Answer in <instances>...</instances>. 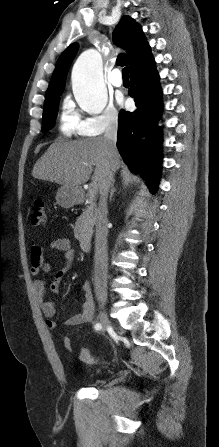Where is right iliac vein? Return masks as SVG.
Wrapping results in <instances>:
<instances>
[{
	"label": "right iliac vein",
	"instance_id": "1",
	"mask_svg": "<svg viewBox=\"0 0 219 447\" xmlns=\"http://www.w3.org/2000/svg\"><path fill=\"white\" fill-rule=\"evenodd\" d=\"M100 324L103 331L110 325V321L105 312H102L100 315Z\"/></svg>",
	"mask_w": 219,
	"mask_h": 447
}]
</instances>
